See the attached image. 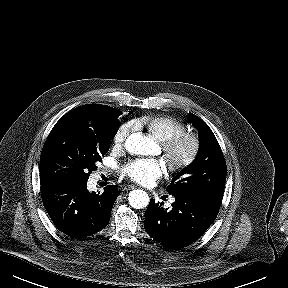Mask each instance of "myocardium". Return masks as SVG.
Wrapping results in <instances>:
<instances>
[{
  "label": "myocardium",
  "instance_id": "f54148a6",
  "mask_svg": "<svg viewBox=\"0 0 288 288\" xmlns=\"http://www.w3.org/2000/svg\"><path fill=\"white\" fill-rule=\"evenodd\" d=\"M160 143L164 157L174 171L191 165L196 160L201 146L199 135L191 130H183ZM183 145H187V148L183 149Z\"/></svg>",
  "mask_w": 288,
  "mask_h": 288
}]
</instances>
